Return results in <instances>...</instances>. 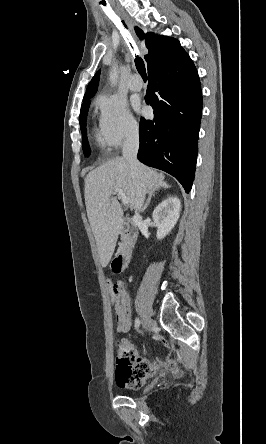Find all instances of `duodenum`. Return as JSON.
<instances>
[{
  "mask_svg": "<svg viewBox=\"0 0 266 444\" xmlns=\"http://www.w3.org/2000/svg\"><path fill=\"white\" fill-rule=\"evenodd\" d=\"M137 229L129 219L123 222V237L119 251L114 258V264L118 272H124L130 266L133 256V245L137 238Z\"/></svg>",
  "mask_w": 266,
  "mask_h": 444,
  "instance_id": "410a0bca",
  "label": "duodenum"
}]
</instances>
